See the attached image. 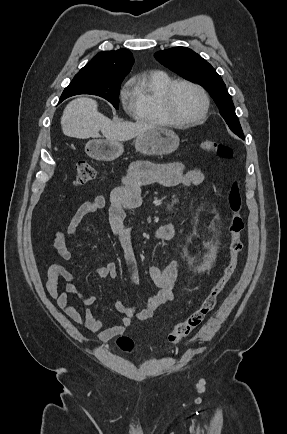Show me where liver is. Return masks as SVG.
Listing matches in <instances>:
<instances>
[{
    "instance_id": "obj_1",
    "label": "liver",
    "mask_w": 287,
    "mask_h": 434,
    "mask_svg": "<svg viewBox=\"0 0 287 434\" xmlns=\"http://www.w3.org/2000/svg\"><path fill=\"white\" fill-rule=\"evenodd\" d=\"M88 97L72 100L64 109L61 127L64 135L78 139L98 138L99 131L109 141H126L155 128L146 122H113L97 109Z\"/></svg>"
}]
</instances>
